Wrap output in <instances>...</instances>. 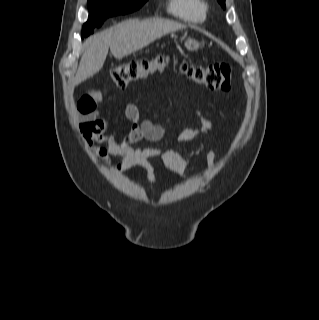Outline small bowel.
<instances>
[{
    "instance_id": "c3829d8e",
    "label": "small bowel",
    "mask_w": 319,
    "mask_h": 320,
    "mask_svg": "<svg viewBox=\"0 0 319 320\" xmlns=\"http://www.w3.org/2000/svg\"><path fill=\"white\" fill-rule=\"evenodd\" d=\"M100 101L99 94L92 92L83 96L78 102V110L81 114L79 128L83 141L86 145H91L93 142L105 144L104 147L94 149L95 155L100 161L107 163L110 157H119L125 169L142 168L145 180L151 187H156L158 183L153 166L150 164V160L154 158L162 160L176 178H183L188 162L179 149L173 146L136 147L126 137L115 139L106 135L105 130L109 125V120L101 116L97 108ZM124 114L132 124L131 131L136 132L138 136L142 135L144 127L159 131L161 136L164 134V127L143 119L135 105L128 104ZM196 116L200 122L199 126L184 128L178 136L179 143H188L214 129L213 123L204 116L201 110H196ZM216 157L214 151L209 152L206 156L207 164L212 169L215 166Z\"/></svg>"
}]
</instances>
